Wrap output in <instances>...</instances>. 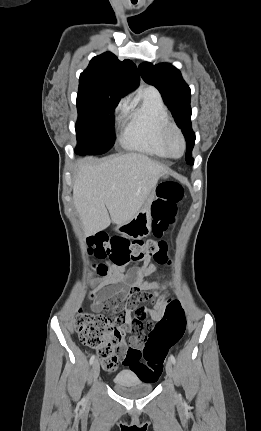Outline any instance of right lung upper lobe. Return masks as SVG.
<instances>
[{"label":"right lung upper lobe","mask_w":261,"mask_h":431,"mask_svg":"<svg viewBox=\"0 0 261 431\" xmlns=\"http://www.w3.org/2000/svg\"><path fill=\"white\" fill-rule=\"evenodd\" d=\"M139 73L131 60L119 61L111 52L92 58L80 74L79 87L92 88L125 96L139 85Z\"/></svg>","instance_id":"cb5924a9"}]
</instances>
